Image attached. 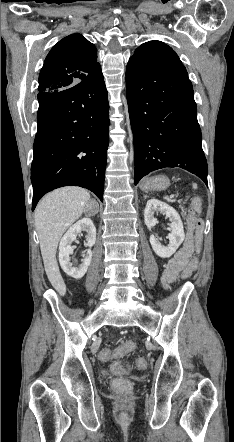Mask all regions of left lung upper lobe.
<instances>
[{
  "label": "left lung upper lobe",
  "mask_w": 234,
  "mask_h": 442,
  "mask_svg": "<svg viewBox=\"0 0 234 442\" xmlns=\"http://www.w3.org/2000/svg\"><path fill=\"white\" fill-rule=\"evenodd\" d=\"M132 57L151 62L181 63L177 54L168 45L161 41H149L136 49Z\"/></svg>",
  "instance_id": "left-lung-upper-lobe-1"
}]
</instances>
